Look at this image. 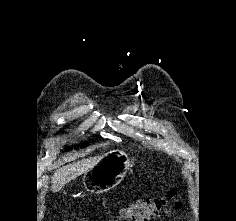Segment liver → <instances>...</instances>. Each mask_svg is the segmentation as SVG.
<instances>
[{"mask_svg": "<svg viewBox=\"0 0 236 221\" xmlns=\"http://www.w3.org/2000/svg\"><path fill=\"white\" fill-rule=\"evenodd\" d=\"M101 158L102 156H95L82 159L57 169L51 177V189L60 190L66 183L90 170Z\"/></svg>", "mask_w": 236, "mask_h": 221, "instance_id": "liver-1", "label": "liver"}]
</instances>
